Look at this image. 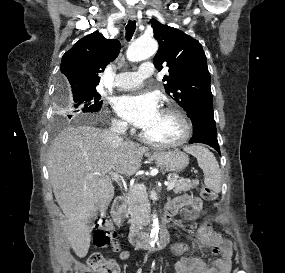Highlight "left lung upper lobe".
Returning <instances> with one entry per match:
<instances>
[{
	"instance_id": "left-lung-upper-lobe-1",
	"label": "left lung upper lobe",
	"mask_w": 285,
	"mask_h": 273,
	"mask_svg": "<svg viewBox=\"0 0 285 273\" xmlns=\"http://www.w3.org/2000/svg\"><path fill=\"white\" fill-rule=\"evenodd\" d=\"M154 38L159 50L154 64L160 70L169 67V75L163 81L166 93L188 115L194 111L213 109L210 89V73L207 58L201 44L184 32L151 19Z\"/></svg>"
}]
</instances>
